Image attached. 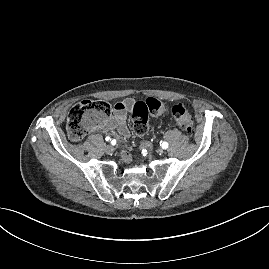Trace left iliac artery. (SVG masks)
Masks as SVG:
<instances>
[{
	"mask_svg": "<svg viewBox=\"0 0 269 269\" xmlns=\"http://www.w3.org/2000/svg\"><path fill=\"white\" fill-rule=\"evenodd\" d=\"M160 145L163 149H167L168 148V143L166 141H161Z\"/></svg>",
	"mask_w": 269,
	"mask_h": 269,
	"instance_id": "obj_1",
	"label": "left iliac artery"
}]
</instances>
